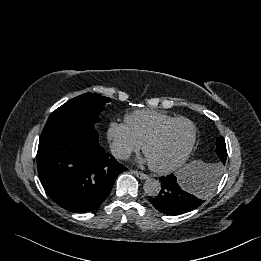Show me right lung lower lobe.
<instances>
[{
  "mask_svg": "<svg viewBox=\"0 0 261 261\" xmlns=\"http://www.w3.org/2000/svg\"><path fill=\"white\" fill-rule=\"evenodd\" d=\"M39 179L49 197L71 212H88L109 195L127 168L99 144L93 123L42 132L37 152Z\"/></svg>",
  "mask_w": 261,
  "mask_h": 261,
  "instance_id": "1",
  "label": "right lung lower lobe"
}]
</instances>
